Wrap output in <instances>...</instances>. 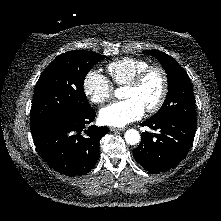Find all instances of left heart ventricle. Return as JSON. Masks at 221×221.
<instances>
[{"instance_id": "1", "label": "left heart ventricle", "mask_w": 221, "mask_h": 221, "mask_svg": "<svg viewBox=\"0 0 221 221\" xmlns=\"http://www.w3.org/2000/svg\"><path fill=\"white\" fill-rule=\"evenodd\" d=\"M162 89V79L159 73L153 72L137 88L126 87L125 98H135L146 109L159 98Z\"/></svg>"}]
</instances>
